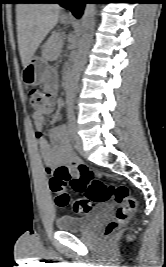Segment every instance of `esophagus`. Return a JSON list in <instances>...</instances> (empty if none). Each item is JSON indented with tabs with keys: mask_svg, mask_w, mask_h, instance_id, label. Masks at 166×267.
Returning a JSON list of instances; mask_svg holds the SVG:
<instances>
[{
	"mask_svg": "<svg viewBox=\"0 0 166 267\" xmlns=\"http://www.w3.org/2000/svg\"><path fill=\"white\" fill-rule=\"evenodd\" d=\"M64 14H65L66 16H68V17H73V15H72V13H71L70 11H66Z\"/></svg>",
	"mask_w": 166,
	"mask_h": 267,
	"instance_id": "obj_1",
	"label": "esophagus"
}]
</instances>
